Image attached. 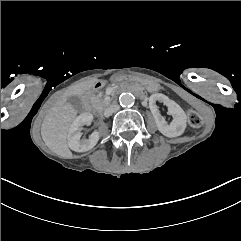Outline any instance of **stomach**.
I'll list each match as a JSON object with an SVG mask.
<instances>
[{"label":"stomach","instance_id":"1","mask_svg":"<svg viewBox=\"0 0 241 241\" xmlns=\"http://www.w3.org/2000/svg\"><path fill=\"white\" fill-rule=\"evenodd\" d=\"M114 79L118 82L140 83L149 92H156L160 89V85L156 81H152L148 79L138 78L134 76H126V75H116Z\"/></svg>","mask_w":241,"mask_h":241}]
</instances>
